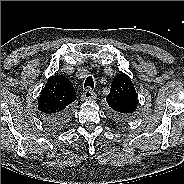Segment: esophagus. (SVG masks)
<instances>
[{"instance_id":"34e87169","label":"esophagus","mask_w":184,"mask_h":184,"mask_svg":"<svg viewBox=\"0 0 184 184\" xmlns=\"http://www.w3.org/2000/svg\"><path fill=\"white\" fill-rule=\"evenodd\" d=\"M95 98H96V93L91 89H86L82 94L81 100L87 101V100H93Z\"/></svg>"}]
</instances>
